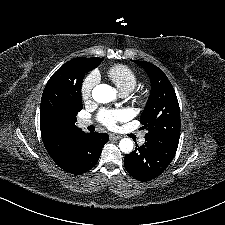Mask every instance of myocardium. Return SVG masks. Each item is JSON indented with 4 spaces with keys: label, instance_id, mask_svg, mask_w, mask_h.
Here are the masks:
<instances>
[{
    "label": "myocardium",
    "instance_id": "f54148a6",
    "mask_svg": "<svg viewBox=\"0 0 225 225\" xmlns=\"http://www.w3.org/2000/svg\"><path fill=\"white\" fill-rule=\"evenodd\" d=\"M147 96L148 95L146 91L138 90L132 96L133 102L137 105H143L147 100Z\"/></svg>",
    "mask_w": 225,
    "mask_h": 225
}]
</instances>
